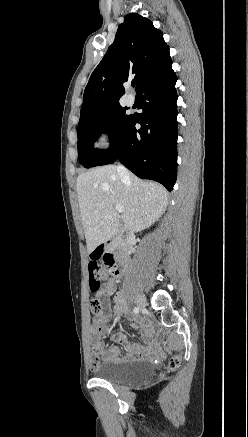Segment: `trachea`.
Segmentation results:
<instances>
[{
  "label": "trachea",
  "instance_id": "3493384b",
  "mask_svg": "<svg viewBox=\"0 0 248 437\" xmlns=\"http://www.w3.org/2000/svg\"><path fill=\"white\" fill-rule=\"evenodd\" d=\"M131 85H132V87H134L135 86V82H132Z\"/></svg>",
  "mask_w": 248,
  "mask_h": 437
}]
</instances>
